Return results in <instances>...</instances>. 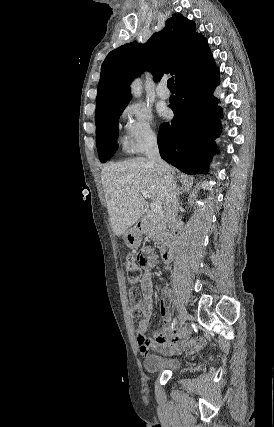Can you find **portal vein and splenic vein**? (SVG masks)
<instances>
[{
  "mask_svg": "<svg viewBox=\"0 0 274 427\" xmlns=\"http://www.w3.org/2000/svg\"><path fill=\"white\" fill-rule=\"evenodd\" d=\"M141 194L144 198H150V194H148V192H144V190H142ZM151 210L154 214L162 212V202H151Z\"/></svg>",
  "mask_w": 274,
  "mask_h": 427,
  "instance_id": "18ae733b",
  "label": "portal vein and splenic vein"
}]
</instances>
